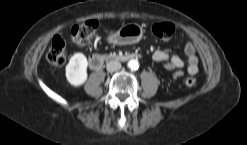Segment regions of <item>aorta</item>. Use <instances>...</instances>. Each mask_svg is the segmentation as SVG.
<instances>
[{"mask_svg": "<svg viewBox=\"0 0 247 145\" xmlns=\"http://www.w3.org/2000/svg\"><path fill=\"white\" fill-rule=\"evenodd\" d=\"M128 67L131 70H137L139 68V62L136 59H132L128 62Z\"/></svg>", "mask_w": 247, "mask_h": 145, "instance_id": "obj_1", "label": "aorta"}]
</instances>
